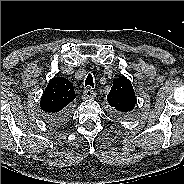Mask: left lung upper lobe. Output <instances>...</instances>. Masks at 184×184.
<instances>
[{
	"instance_id": "obj_1",
	"label": "left lung upper lobe",
	"mask_w": 184,
	"mask_h": 184,
	"mask_svg": "<svg viewBox=\"0 0 184 184\" xmlns=\"http://www.w3.org/2000/svg\"><path fill=\"white\" fill-rule=\"evenodd\" d=\"M107 101L116 110L118 116L132 117L136 97L130 80L124 76L114 79L111 90L107 95Z\"/></svg>"
}]
</instances>
